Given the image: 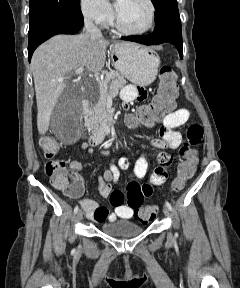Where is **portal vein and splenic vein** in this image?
<instances>
[{
    "mask_svg": "<svg viewBox=\"0 0 240 288\" xmlns=\"http://www.w3.org/2000/svg\"><path fill=\"white\" fill-rule=\"evenodd\" d=\"M83 71H84V67H80V68H78V69L75 70V74L79 75V74H81ZM64 78H65V77H59V78L57 79V81H58V82H61V81L64 80Z\"/></svg>",
    "mask_w": 240,
    "mask_h": 288,
    "instance_id": "obj_1",
    "label": "portal vein and splenic vein"
}]
</instances>
